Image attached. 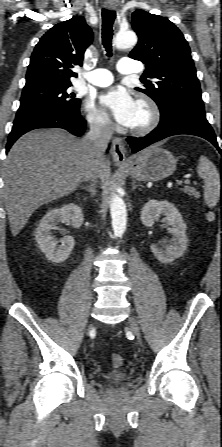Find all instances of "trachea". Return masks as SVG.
<instances>
[{
	"mask_svg": "<svg viewBox=\"0 0 222 447\" xmlns=\"http://www.w3.org/2000/svg\"><path fill=\"white\" fill-rule=\"evenodd\" d=\"M116 14L114 11H109L106 9L102 10V42L104 48L106 49L107 56H112V37H113V23Z\"/></svg>",
	"mask_w": 222,
	"mask_h": 447,
	"instance_id": "3493384b",
	"label": "trachea"
}]
</instances>
